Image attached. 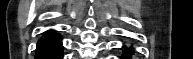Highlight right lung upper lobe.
<instances>
[{"label": "right lung upper lobe", "mask_w": 193, "mask_h": 59, "mask_svg": "<svg viewBox=\"0 0 193 59\" xmlns=\"http://www.w3.org/2000/svg\"><path fill=\"white\" fill-rule=\"evenodd\" d=\"M51 34H56V33H53L52 31H48V32H46L45 36L46 35H51Z\"/></svg>", "instance_id": "obj_1"}]
</instances>
